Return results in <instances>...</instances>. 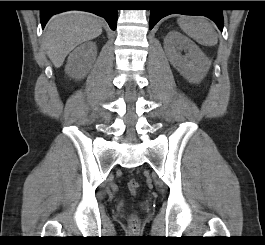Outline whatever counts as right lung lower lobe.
<instances>
[{
    "label": "right lung lower lobe",
    "mask_w": 265,
    "mask_h": 245,
    "mask_svg": "<svg viewBox=\"0 0 265 245\" xmlns=\"http://www.w3.org/2000/svg\"><path fill=\"white\" fill-rule=\"evenodd\" d=\"M52 4L58 5L59 7L40 10L42 28H44L45 24L53 14L67 11L66 9H61L60 7L63 5H68V3L57 1L52 2ZM74 5L78 7H84L81 10L89 11L104 17L107 20L110 28L112 30L116 29L117 9L115 8V1H82L81 3H75Z\"/></svg>",
    "instance_id": "obj_1"
}]
</instances>
